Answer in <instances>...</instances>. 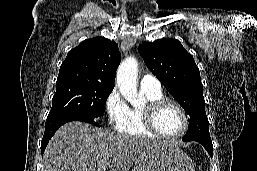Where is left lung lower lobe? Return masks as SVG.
Instances as JSON below:
<instances>
[{
  "instance_id": "0a47b994",
  "label": "left lung lower lobe",
  "mask_w": 257,
  "mask_h": 171,
  "mask_svg": "<svg viewBox=\"0 0 257 171\" xmlns=\"http://www.w3.org/2000/svg\"><path fill=\"white\" fill-rule=\"evenodd\" d=\"M185 141V140H183ZM189 141H196L204 146V148L207 150L208 154L212 158L213 156V145L211 140H201V139H195V140H189Z\"/></svg>"
}]
</instances>
